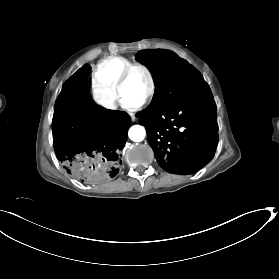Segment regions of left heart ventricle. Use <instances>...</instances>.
Listing matches in <instances>:
<instances>
[{
	"label": "left heart ventricle",
	"instance_id": "obj_1",
	"mask_svg": "<svg viewBox=\"0 0 279 279\" xmlns=\"http://www.w3.org/2000/svg\"><path fill=\"white\" fill-rule=\"evenodd\" d=\"M149 80L141 70H134L123 90L122 99L129 103H141L149 91Z\"/></svg>",
	"mask_w": 279,
	"mask_h": 279
}]
</instances>
